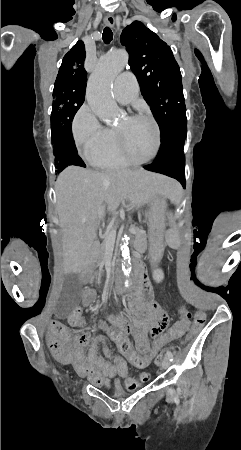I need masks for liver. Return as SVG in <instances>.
Masks as SVG:
<instances>
[{"instance_id":"obj_1","label":"liver","mask_w":241,"mask_h":450,"mask_svg":"<svg viewBox=\"0 0 241 450\" xmlns=\"http://www.w3.org/2000/svg\"><path fill=\"white\" fill-rule=\"evenodd\" d=\"M171 178L145 170L94 172L69 166L55 182L57 212L63 228L64 270L80 274L93 266L98 254V222L115 212L121 202L128 210L148 204L154 196H167Z\"/></svg>"}]
</instances>
